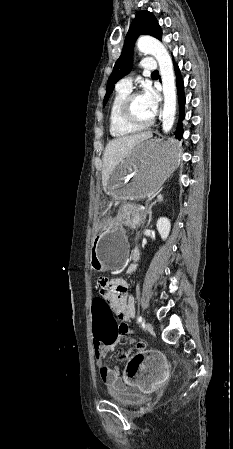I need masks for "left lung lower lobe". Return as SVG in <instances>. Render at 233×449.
I'll list each match as a JSON object with an SVG mask.
<instances>
[{"label": "left lung lower lobe", "instance_id": "obj_1", "mask_svg": "<svg viewBox=\"0 0 233 449\" xmlns=\"http://www.w3.org/2000/svg\"><path fill=\"white\" fill-rule=\"evenodd\" d=\"M174 68H175V74H176V86H177V92H178V100H179V122L175 131V137L179 141L182 139L183 134V125L182 120L185 117L184 114V105H185V95H184V83L180 74V70L178 68V65L174 62Z\"/></svg>", "mask_w": 233, "mask_h": 449}]
</instances>
